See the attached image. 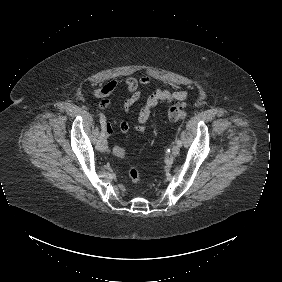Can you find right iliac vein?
I'll return each mask as SVG.
<instances>
[{"label":"right iliac vein","instance_id":"1","mask_svg":"<svg viewBox=\"0 0 282 282\" xmlns=\"http://www.w3.org/2000/svg\"><path fill=\"white\" fill-rule=\"evenodd\" d=\"M107 149H108L107 140H106V137H104L100 140V150L102 152H106Z\"/></svg>","mask_w":282,"mask_h":282}]
</instances>
